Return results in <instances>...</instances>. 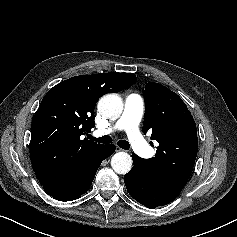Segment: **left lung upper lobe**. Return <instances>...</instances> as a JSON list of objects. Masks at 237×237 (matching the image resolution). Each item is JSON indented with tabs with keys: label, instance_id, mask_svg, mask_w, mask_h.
Wrapping results in <instances>:
<instances>
[{
	"label": "left lung upper lobe",
	"instance_id": "obj_1",
	"mask_svg": "<svg viewBox=\"0 0 237 237\" xmlns=\"http://www.w3.org/2000/svg\"><path fill=\"white\" fill-rule=\"evenodd\" d=\"M143 132L159 143L155 157L144 159L147 170L163 179L188 181L197 156L195 121L186 104L159 83H147L144 90Z\"/></svg>",
	"mask_w": 237,
	"mask_h": 237
}]
</instances>
